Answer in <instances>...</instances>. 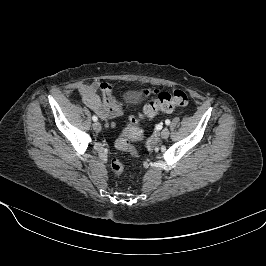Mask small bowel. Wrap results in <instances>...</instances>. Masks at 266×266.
Wrapping results in <instances>:
<instances>
[{"label":"small bowel","instance_id":"obj_1","mask_svg":"<svg viewBox=\"0 0 266 266\" xmlns=\"http://www.w3.org/2000/svg\"><path fill=\"white\" fill-rule=\"evenodd\" d=\"M79 94L83 103L104 120H111L122 114L123 103L107 82L85 83L79 88Z\"/></svg>","mask_w":266,"mask_h":266}]
</instances>
